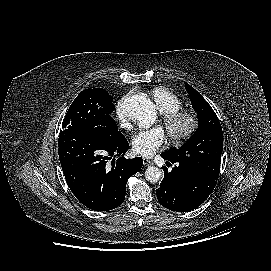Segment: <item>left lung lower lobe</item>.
<instances>
[{
    "label": "left lung lower lobe",
    "instance_id": "left-lung-lower-lobe-1",
    "mask_svg": "<svg viewBox=\"0 0 271 271\" xmlns=\"http://www.w3.org/2000/svg\"><path fill=\"white\" fill-rule=\"evenodd\" d=\"M161 156L175 163L166 154L162 153ZM163 170L165 175L156 190L157 199L163 207L177 212L197 208L208 198L217 183V179L181 163H177L171 172L165 166Z\"/></svg>",
    "mask_w": 271,
    "mask_h": 271
}]
</instances>
